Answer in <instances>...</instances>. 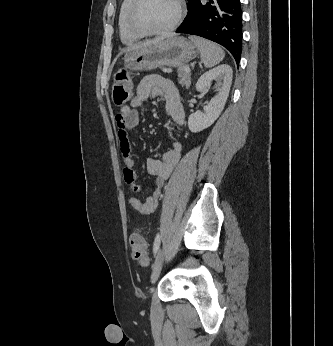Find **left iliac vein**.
Listing matches in <instances>:
<instances>
[{
  "mask_svg": "<svg viewBox=\"0 0 333 346\" xmlns=\"http://www.w3.org/2000/svg\"><path fill=\"white\" fill-rule=\"evenodd\" d=\"M163 261H164V251L163 249H160L156 256L155 262L153 264V272L151 276L152 283H154L157 277L159 276V273L162 269Z\"/></svg>",
  "mask_w": 333,
  "mask_h": 346,
  "instance_id": "obj_1",
  "label": "left iliac vein"
}]
</instances>
